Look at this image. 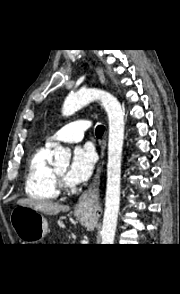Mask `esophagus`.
<instances>
[{
	"mask_svg": "<svg viewBox=\"0 0 180 294\" xmlns=\"http://www.w3.org/2000/svg\"><path fill=\"white\" fill-rule=\"evenodd\" d=\"M101 84L105 83V76L100 66L96 67ZM106 148V134L104 135L101 143V160L104 157ZM101 165L99 164L94 176L93 182L88 189L82 193L79 198L76 212L85 215L88 219H98L102 214V205L99 198V185H100Z\"/></svg>",
	"mask_w": 180,
	"mask_h": 294,
	"instance_id": "esophagus-1",
	"label": "esophagus"
}]
</instances>
